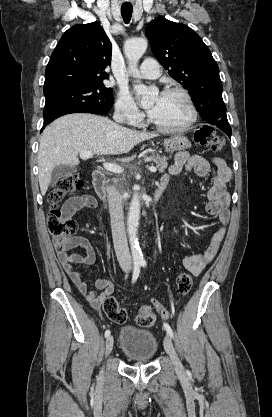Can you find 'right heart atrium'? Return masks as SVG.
Returning <instances> with one entry per match:
<instances>
[{
	"label": "right heart atrium",
	"mask_w": 272,
	"mask_h": 417,
	"mask_svg": "<svg viewBox=\"0 0 272 417\" xmlns=\"http://www.w3.org/2000/svg\"><path fill=\"white\" fill-rule=\"evenodd\" d=\"M115 114L120 120L131 125L139 124L143 119V114L127 91L119 92L115 102Z\"/></svg>",
	"instance_id": "d8ad5b80"
}]
</instances>
